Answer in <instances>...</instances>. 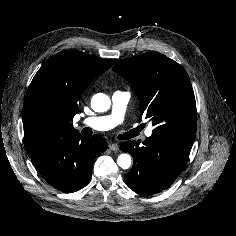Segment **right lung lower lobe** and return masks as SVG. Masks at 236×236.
Wrapping results in <instances>:
<instances>
[{"mask_svg": "<svg viewBox=\"0 0 236 236\" xmlns=\"http://www.w3.org/2000/svg\"><path fill=\"white\" fill-rule=\"evenodd\" d=\"M106 148L107 142L100 135L86 137L77 132L35 147L28 155L51 186L71 193L89 182L93 162Z\"/></svg>", "mask_w": 236, "mask_h": 236, "instance_id": "1", "label": "right lung lower lobe"}]
</instances>
